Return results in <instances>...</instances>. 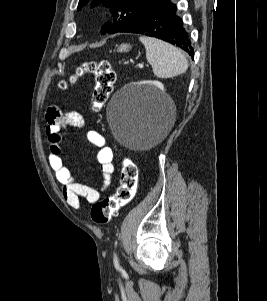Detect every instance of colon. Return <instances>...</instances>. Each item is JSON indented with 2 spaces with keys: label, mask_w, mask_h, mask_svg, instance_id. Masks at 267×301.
<instances>
[{
  "label": "colon",
  "mask_w": 267,
  "mask_h": 301,
  "mask_svg": "<svg viewBox=\"0 0 267 301\" xmlns=\"http://www.w3.org/2000/svg\"><path fill=\"white\" fill-rule=\"evenodd\" d=\"M84 73H91L95 78V87L92 95V109L100 111L109 99L116 80V75L107 60L89 61L84 63L71 78L75 80L77 76ZM62 87L66 82L61 83ZM138 183V170L136 165L125 159L121 166L120 183L116 191L94 204L91 209V218L98 225L108 224L117 214L118 210L131 202L136 194Z\"/></svg>",
  "instance_id": "obj_1"
}]
</instances>
